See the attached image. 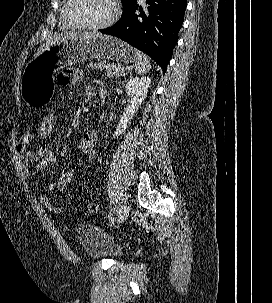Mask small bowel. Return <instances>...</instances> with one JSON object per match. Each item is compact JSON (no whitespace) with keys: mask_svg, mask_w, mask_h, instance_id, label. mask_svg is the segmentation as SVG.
<instances>
[{"mask_svg":"<svg viewBox=\"0 0 272 303\" xmlns=\"http://www.w3.org/2000/svg\"><path fill=\"white\" fill-rule=\"evenodd\" d=\"M83 72L80 70H68L59 75V82L62 85L70 86L75 84L81 77ZM104 91L99 88L97 91ZM34 135L32 132H25L18 141L16 146L17 159L22 173L27 177L33 176L30 170V163L36 162V170L43 171L57 162V153L50 145H41L37 148H31ZM95 131L87 132L79 143L80 151L89 159L96 156L94 144ZM58 192L54 182L48 185L47 194L38 195L39 202L49 211L58 213L59 208L52 203V197Z\"/></svg>","mask_w":272,"mask_h":303,"instance_id":"obj_1","label":"small bowel"}]
</instances>
